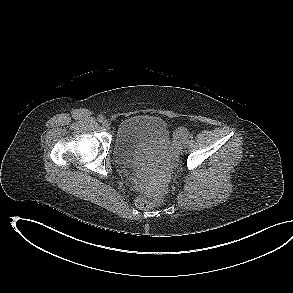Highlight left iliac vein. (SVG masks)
<instances>
[{"instance_id":"4c4485c4","label":"left iliac vein","mask_w":293,"mask_h":293,"mask_svg":"<svg viewBox=\"0 0 293 293\" xmlns=\"http://www.w3.org/2000/svg\"><path fill=\"white\" fill-rule=\"evenodd\" d=\"M188 142H189V140H188V138L186 137V138H184V139L182 140V145L185 147V146L188 144Z\"/></svg>"}]
</instances>
